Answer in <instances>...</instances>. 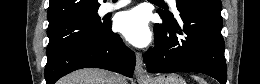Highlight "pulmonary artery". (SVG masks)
Wrapping results in <instances>:
<instances>
[{
    "label": "pulmonary artery",
    "mask_w": 260,
    "mask_h": 84,
    "mask_svg": "<svg viewBox=\"0 0 260 84\" xmlns=\"http://www.w3.org/2000/svg\"><path fill=\"white\" fill-rule=\"evenodd\" d=\"M168 2L173 6L175 7L176 5V1L175 0H168ZM128 4L127 1H118L116 3H111V2H107L105 4H103L101 7H100V12L102 14H105V13H109V12H112V11H115L117 9H120L124 6H126Z\"/></svg>",
    "instance_id": "1"
}]
</instances>
